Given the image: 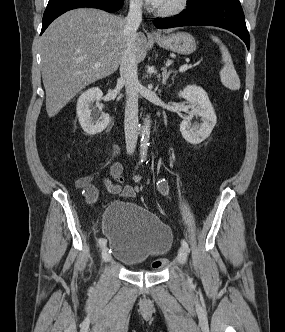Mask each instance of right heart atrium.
I'll list each match as a JSON object with an SVG mask.
<instances>
[{
  "label": "right heart atrium",
  "instance_id": "obj_1",
  "mask_svg": "<svg viewBox=\"0 0 285 332\" xmlns=\"http://www.w3.org/2000/svg\"><path fill=\"white\" fill-rule=\"evenodd\" d=\"M129 2L130 5L136 9L141 8L143 5V0H129Z\"/></svg>",
  "mask_w": 285,
  "mask_h": 332
}]
</instances>
